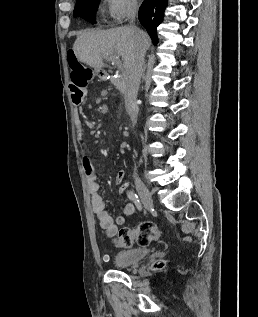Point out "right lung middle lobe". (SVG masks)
<instances>
[{
  "instance_id": "obj_1",
  "label": "right lung middle lobe",
  "mask_w": 258,
  "mask_h": 317,
  "mask_svg": "<svg viewBox=\"0 0 258 317\" xmlns=\"http://www.w3.org/2000/svg\"><path fill=\"white\" fill-rule=\"evenodd\" d=\"M99 0H78L74 9V17H81L95 23V11Z\"/></svg>"
}]
</instances>
